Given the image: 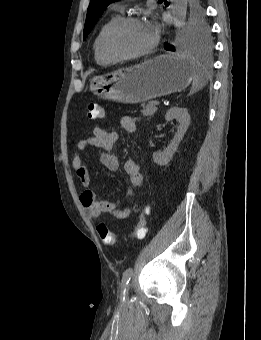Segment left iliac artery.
<instances>
[{
	"label": "left iliac artery",
	"mask_w": 261,
	"mask_h": 340,
	"mask_svg": "<svg viewBox=\"0 0 261 340\" xmlns=\"http://www.w3.org/2000/svg\"><path fill=\"white\" fill-rule=\"evenodd\" d=\"M132 273H133V268H131V267L127 268L123 273L122 282H121V288L123 290L122 291L123 292V301L125 300L126 286L129 284Z\"/></svg>",
	"instance_id": "obj_1"
}]
</instances>
